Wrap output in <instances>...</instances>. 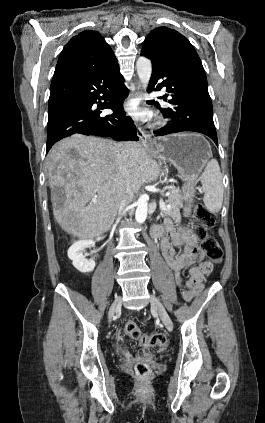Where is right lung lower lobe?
I'll return each mask as SVG.
<instances>
[{
    "instance_id": "1",
    "label": "right lung lower lobe",
    "mask_w": 265,
    "mask_h": 423,
    "mask_svg": "<svg viewBox=\"0 0 265 423\" xmlns=\"http://www.w3.org/2000/svg\"><path fill=\"white\" fill-rule=\"evenodd\" d=\"M128 93L119 65L53 79L48 104L46 153L54 143L75 133L109 136L117 141H138L136 127L122 109ZM103 99L109 102L102 103ZM105 108L114 113L100 116V109Z\"/></svg>"
}]
</instances>
